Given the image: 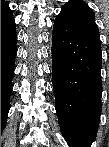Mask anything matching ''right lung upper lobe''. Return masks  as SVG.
Instances as JSON below:
<instances>
[{
  "instance_id": "right-lung-upper-lobe-1",
  "label": "right lung upper lobe",
  "mask_w": 109,
  "mask_h": 147,
  "mask_svg": "<svg viewBox=\"0 0 109 147\" xmlns=\"http://www.w3.org/2000/svg\"><path fill=\"white\" fill-rule=\"evenodd\" d=\"M12 15H13V12L8 6V2L1 1V22L12 17Z\"/></svg>"
}]
</instances>
